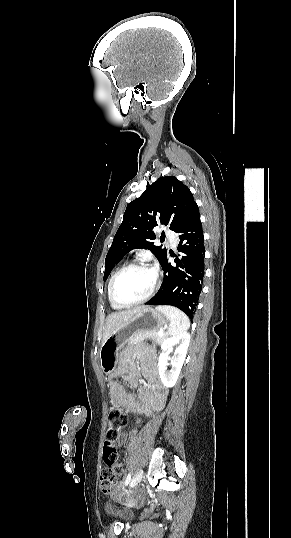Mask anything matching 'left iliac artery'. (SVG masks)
<instances>
[{
  "mask_svg": "<svg viewBox=\"0 0 291 538\" xmlns=\"http://www.w3.org/2000/svg\"><path fill=\"white\" fill-rule=\"evenodd\" d=\"M131 480V473L129 472L126 479H125V486L128 485V483L130 482Z\"/></svg>",
  "mask_w": 291,
  "mask_h": 538,
  "instance_id": "left-iliac-artery-1",
  "label": "left iliac artery"
}]
</instances>
